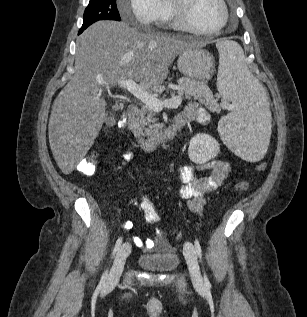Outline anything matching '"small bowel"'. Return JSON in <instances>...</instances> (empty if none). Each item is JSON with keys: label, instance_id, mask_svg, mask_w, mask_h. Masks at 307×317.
I'll list each match as a JSON object with an SVG mask.
<instances>
[{"label": "small bowel", "instance_id": "1", "mask_svg": "<svg viewBox=\"0 0 307 317\" xmlns=\"http://www.w3.org/2000/svg\"><path fill=\"white\" fill-rule=\"evenodd\" d=\"M181 116L186 117L187 120L196 119L201 123H207L209 121V114L207 111L197 104L189 105ZM133 157V151L128 150L123 155V162L120 167L132 160ZM229 171V163L220 160L209 161L199 167L182 166L178 168L176 175L181 183L178 193L180 197L187 200L186 205L188 209L194 213L202 212L206 204V196L218 189L224 183ZM203 172H206L207 174H199ZM132 226L133 224L130 221H127L124 224L126 229H130ZM134 243L144 250H151L155 246L160 248L166 246L160 231L155 232L153 239L142 240L140 238H135Z\"/></svg>", "mask_w": 307, "mask_h": 317}]
</instances>
